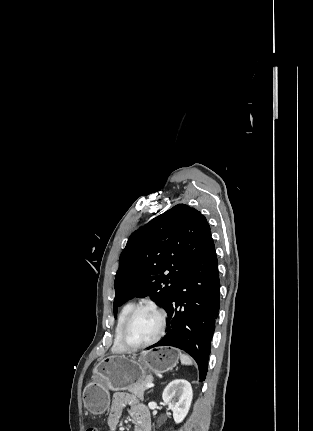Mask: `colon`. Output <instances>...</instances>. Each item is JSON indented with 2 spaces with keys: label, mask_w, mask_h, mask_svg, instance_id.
I'll return each mask as SVG.
<instances>
[{
  "label": "colon",
  "mask_w": 313,
  "mask_h": 431,
  "mask_svg": "<svg viewBox=\"0 0 313 431\" xmlns=\"http://www.w3.org/2000/svg\"><path fill=\"white\" fill-rule=\"evenodd\" d=\"M86 431H99V429L92 427V428H88Z\"/></svg>",
  "instance_id": "colon-1"
}]
</instances>
